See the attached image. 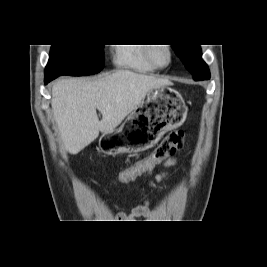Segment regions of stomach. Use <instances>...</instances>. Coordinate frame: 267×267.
Segmentation results:
<instances>
[{"mask_svg":"<svg viewBox=\"0 0 267 267\" xmlns=\"http://www.w3.org/2000/svg\"><path fill=\"white\" fill-rule=\"evenodd\" d=\"M187 110L181 95L169 88L149 91L118 130L104 133L100 144L104 153H135L153 147L162 136L183 124Z\"/></svg>","mask_w":267,"mask_h":267,"instance_id":"stomach-1","label":"stomach"}]
</instances>
